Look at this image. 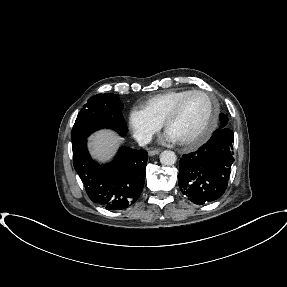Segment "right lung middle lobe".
<instances>
[{"instance_id": "right-lung-middle-lobe-1", "label": "right lung middle lobe", "mask_w": 287, "mask_h": 287, "mask_svg": "<svg viewBox=\"0 0 287 287\" xmlns=\"http://www.w3.org/2000/svg\"><path fill=\"white\" fill-rule=\"evenodd\" d=\"M123 107L117 94H97L91 97L79 112L72 128V148L86 140L91 133L103 128L113 129L125 136L128 129L122 115Z\"/></svg>"}]
</instances>
